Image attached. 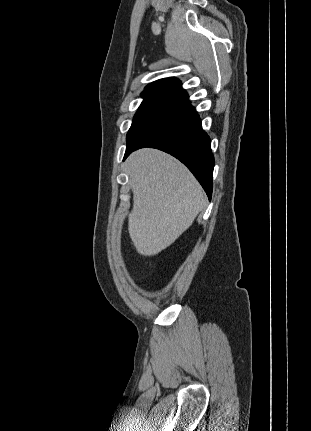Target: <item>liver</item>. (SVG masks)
<instances>
[{
    "label": "liver",
    "instance_id": "liver-1",
    "mask_svg": "<svg viewBox=\"0 0 311 431\" xmlns=\"http://www.w3.org/2000/svg\"><path fill=\"white\" fill-rule=\"evenodd\" d=\"M126 164L133 192L129 235L138 253L156 255L192 225L205 194L186 166L159 150H137Z\"/></svg>",
    "mask_w": 311,
    "mask_h": 431
}]
</instances>
